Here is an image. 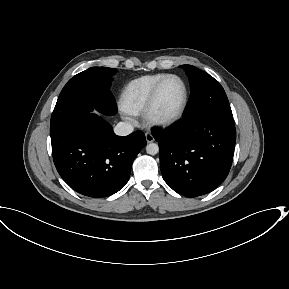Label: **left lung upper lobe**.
I'll use <instances>...</instances> for the list:
<instances>
[{"instance_id":"1","label":"left lung upper lobe","mask_w":289,"mask_h":289,"mask_svg":"<svg viewBox=\"0 0 289 289\" xmlns=\"http://www.w3.org/2000/svg\"><path fill=\"white\" fill-rule=\"evenodd\" d=\"M182 67L191 84V97L184 118L202 112L233 116L225 91L217 80L194 66Z\"/></svg>"}]
</instances>
